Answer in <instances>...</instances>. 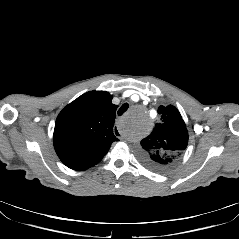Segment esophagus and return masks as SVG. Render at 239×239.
Masks as SVG:
<instances>
[{"mask_svg": "<svg viewBox=\"0 0 239 239\" xmlns=\"http://www.w3.org/2000/svg\"><path fill=\"white\" fill-rule=\"evenodd\" d=\"M113 128H114L113 132H114L115 136L118 137V138L121 137L122 134H121V132L119 130V128H120L119 125L116 124V125H114Z\"/></svg>", "mask_w": 239, "mask_h": 239, "instance_id": "obj_1", "label": "esophagus"}]
</instances>
